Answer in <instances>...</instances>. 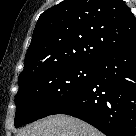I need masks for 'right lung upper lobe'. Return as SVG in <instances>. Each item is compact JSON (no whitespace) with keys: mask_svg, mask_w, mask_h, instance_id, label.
Masks as SVG:
<instances>
[{"mask_svg":"<svg viewBox=\"0 0 136 136\" xmlns=\"http://www.w3.org/2000/svg\"><path fill=\"white\" fill-rule=\"evenodd\" d=\"M136 39L122 0H64L39 17L18 83L52 66L91 63Z\"/></svg>","mask_w":136,"mask_h":136,"instance_id":"right-lung-upper-lobe-1","label":"right lung upper lobe"}]
</instances>
